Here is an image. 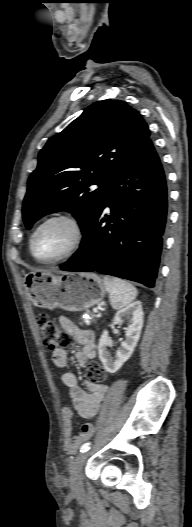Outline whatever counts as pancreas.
<instances>
[{
	"instance_id": "pancreas-1",
	"label": "pancreas",
	"mask_w": 192,
	"mask_h": 527,
	"mask_svg": "<svg viewBox=\"0 0 192 527\" xmlns=\"http://www.w3.org/2000/svg\"><path fill=\"white\" fill-rule=\"evenodd\" d=\"M86 314L88 315V318H83L84 324L90 325L92 322L96 321L97 315L95 313L87 311Z\"/></svg>"
}]
</instances>
